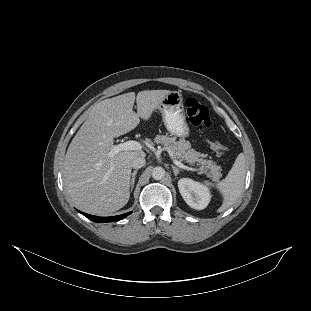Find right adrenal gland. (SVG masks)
<instances>
[{"label":"right adrenal gland","instance_id":"right-adrenal-gland-1","mask_svg":"<svg viewBox=\"0 0 311 311\" xmlns=\"http://www.w3.org/2000/svg\"><path fill=\"white\" fill-rule=\"evenodd\" d=\"M137 172H138V169L134 170V172L131 174V177H130L131 192L133 191V188H134L135 176Z\"/></svg>","mask_w":311,"mask_h":311}]
</instances>
